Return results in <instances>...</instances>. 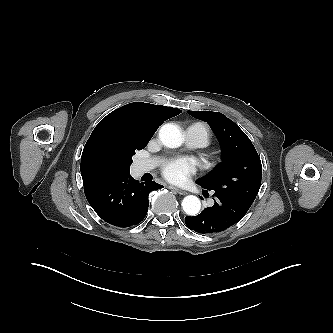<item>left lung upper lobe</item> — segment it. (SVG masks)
Masks as SVG:
<instances>
[{"label": "left lung upper lobe", "mask_w": 333, "mask_h": 333, "mask_svg": "<svg viewBox=\"0 0 333 333\" xmlns=\"http://www.w3.org/2000/svg\"><path fill=\"white\" fill-rule=\"evenodd\" d=\"M207 122L222 147L223 161L197 184L249 206L261 185L262 165L255 147L247 135L229 118L219 112L188 111Z\"/></svg>", "instance_id": "1"}]
</instances>
